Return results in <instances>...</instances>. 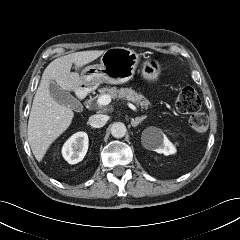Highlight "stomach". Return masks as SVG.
<instances>
[{"label":"stomach","instance_id":"1","mask_svg":"<svg viewBox=\"0 0 240 240\" xmlns=\"http://www.w3.org/2000/svg\"><path fill=\"white\" fill-rule=\"evenodd\" d=\"M139 63V55L129 48L113 47L104 51L100 64L89 65L81 72L88 89H96L101 83L123 84L133 78ZM157 60L144 62L142 76L147 81H156L161 73Z\"/></svg>","mask_w":240,"mask_h":240}]
</instances>
